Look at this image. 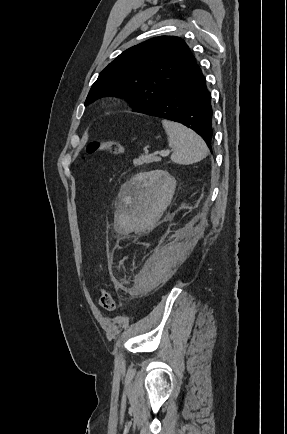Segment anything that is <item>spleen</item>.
Returning <instances> with one entry per match:
<instances>
[{
    "mask_svg": "<svg viewBox=\"0 0 287 434\" xmlns=\"http://www.w3.org/2000/svg\"><path fill=\"white\" fill-rule=\"evenodd\" d=\"M168 135V143L173 153L171 160L180 165H189L201 161L207 156L208 148L203 139L184 125L162 120Z\"/></svg>",
    "mask_w": 287,
    "mask_h": 434,
    "instance_id": "3e777b00",
    "label": "spleen"
}]
</instances>
